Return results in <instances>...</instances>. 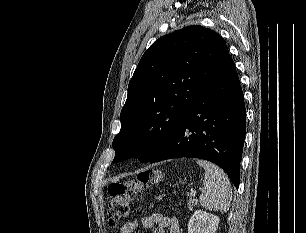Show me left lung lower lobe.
Here are the masks:
<instances>
[{
    "instance_id": "1",
    "label": "left lung lower lobe",
    "mask_w": 306,
    "mask_h": 233,
    "mask_svg": "<svg viewBox=\"0 0 306 233\" xmlns=\"http://www.w3.org/2000/svg\"><path fill=\"white\" fill-rule=\"evenodd\" d=\"M245 133L244 96L229 55L149 163L181 157L202 158L224 169L238 188Z\"/></svg>"
}]
</instances>
